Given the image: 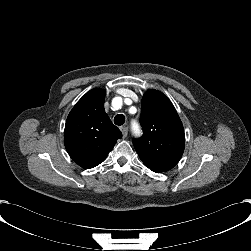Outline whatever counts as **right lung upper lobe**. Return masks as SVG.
<instances>
[{
    "mask_svg": "<svg viewBox=\"0 0 251 251\" xmlns=\"http://www.w3.org/2000/svg\"><path fill=\"white\" fill-rule=\"evenodd\" d=\"M105 90L87 92L67 117L64 144L69 156L84 169L103 162L122 137L104 110Z\"/></svg>",
    "mask_w": 251,
    "mask_h": 251,
    "instance_id": "obj_1",
    "label": "right lung upper lobe"
}]
</instances>
